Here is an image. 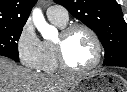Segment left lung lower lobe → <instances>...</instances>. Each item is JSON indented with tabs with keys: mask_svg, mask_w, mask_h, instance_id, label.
Instances as JSON below:
<instances>
[{
	"mask_svg": "<svg viewBox=\"0 0 127 92\" xmlns=\"http://www.w3.org/2000/svg\"><path fill=\"white\" fill-rule=\"evenodd\" d=\"M103 65L107 66H121L127 68V53H121L114 56L112 59L104 61Z\"/></svg>",
	"mask_w": 127,
	"mask_h": 92,
	"instance_id": "0a47b994",
	"label": "left lung lower lobe"
}]
</instances>
